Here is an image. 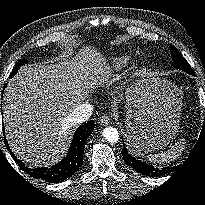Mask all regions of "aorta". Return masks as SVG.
I'll use <instances>...</instances> for the list:
<instances>
[{
    "label": "aorta",
    "instance_id": "obj_1",
    "mask_svg": "<svg viewBox=\"0 0 205 205\" xmlns=\"http://www.w3.org/2000/svg\"><path fill=\"white\" fill-rule=\"evenodd\" d=\"M103 137L110 143H116L119 140V132L116 128L107 127L103 130Z\"/></svg>",
    "mask_w": 205,
    "mask_h": 205
}]
</instances>
